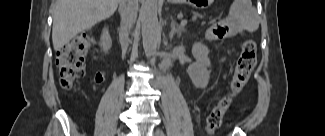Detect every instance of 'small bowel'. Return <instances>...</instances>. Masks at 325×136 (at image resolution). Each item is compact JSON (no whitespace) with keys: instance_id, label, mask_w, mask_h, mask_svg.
<instances>
[{"instance_id":"c3829d8e","label":"small bowel","mask_w":325,"mask_h":136,"mask_svg":"<svg viewBox=\"0 0 325 136\" xmlns=\"http://www.w3.org/2000/svg\"><path fill=\"white\" fill-rule=\"evenodd\" d=\"M254 29L253 24L246 17L240 19V23L236 26L230 22H221L211 26L207 32L206 37L210 40H220L230 36L240 35L247 31ZM106 73L104 71L97 72L93 78L94 83H102L105 80ZM227 74H223V80L226 81Z\"/></svg>"}]
</instances>
